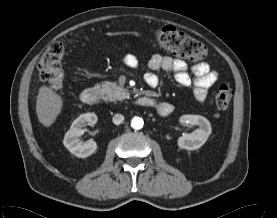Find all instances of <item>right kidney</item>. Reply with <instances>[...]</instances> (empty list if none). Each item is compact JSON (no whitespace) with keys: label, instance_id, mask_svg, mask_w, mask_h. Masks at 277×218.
<instances>
[{"label":"right kidney","instance_id":"obj_1","mask_svg":"<svg viewBox=\"0 0 277 218\" xmlns=\"http://www.w3.org/2000/svg\"><path fill=\"white\" fill-rule=\"evenodd\" d=\"M97 122L95 113H84L77 117L63 139L64 146L75 156L86 158L97 150V144L93 140L82 141L80 137L83 134L82 127L94 125Z\"/></svg>","mask_w":277,"mask_h":218}]
</instances>
